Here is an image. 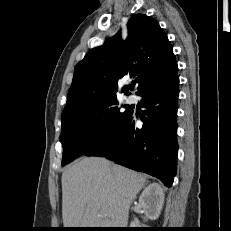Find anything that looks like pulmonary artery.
Segmentation results:
<instances>
[{
	"instance_id": "obj_1",
	"label": "pulmonary artery",
	"mask_w": 231,
	"mask_h": 231,
	"mask_svg": "<svg viewBox=\"0 0 231 231\" xmlns=\"http://www.w3.org/2000/svg\"><path fill=\"white\" fill-rule=\"evenodd\" d=\"M126 101L129 104H133L136 101V97L134 95H129V96L126 97Z\"/></svg>"
}]
</instances>
